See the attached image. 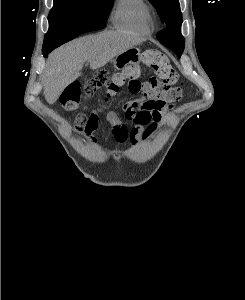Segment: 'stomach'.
Instances as JSON below:
<instances>
[{"instance_id": "obj_1", "label": "stomach", "mask_w": 245, "mask_h": 300, "mask_svg": "<svg viewBox=\"0 0 245 300\" xmlns=\"http://www.w3.org/2000/svg\"><path fill=\"white\" fill-rule=\"evenodd\" d=\"M141 60L140 49L137 47H131L124 52L117 55L114 59V67L117 70L124 69L131 64H138Z\"/></svg>"}]
</instances>
